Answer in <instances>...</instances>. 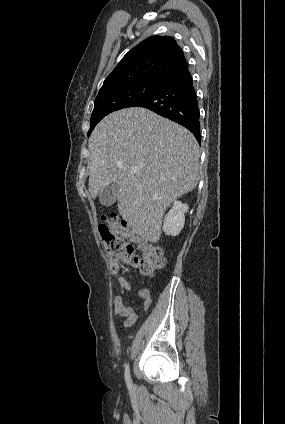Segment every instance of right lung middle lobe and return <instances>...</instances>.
I'll return each mask as SVG.
<instances>
[{
    "mask_svg": "<svg viewBox=\"0 0 285 424\" xmlns=\"http://www.w3.org/2000/svg\"><path fill=\"white\" fill-rule=\"evenodd\" d=\"M163 85L159 81H140L99 91L90 119L91 134L97 123L109 113L130 107L137 100L152 94Z\"/></svg>",
    "mask_w": 285,
    "mask_h": 424,
    "instance_id": "dd1d6c3e",
    "label": "right lung middle lobe"
}]
</instances>
